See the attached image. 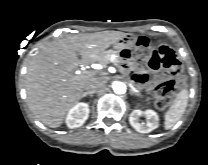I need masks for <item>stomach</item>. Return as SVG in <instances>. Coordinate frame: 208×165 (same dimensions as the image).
<instances>
[{
  "instance_id": "0dacf381",
  "label": "stomach",
  "mask_w": 208,
  "mask_h": 165,
  "mask_svg": "<svg viewBox=\"0 0 208 165\" xmlns=\"http://www.w3.org/2000/svg\"><path fill=\"white\" fill-rule=\"evenodd\" d=\"M136 42H137V38L136 37L125 36L121 40H119L116 43H114V49H116L118 52H120V50L122 48H129V49H131L132 47L135 46Z\"/></svg>"
}]
</instances>
